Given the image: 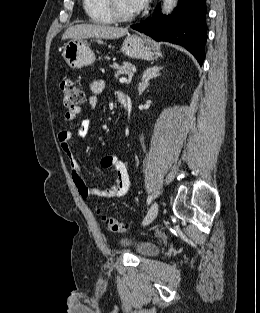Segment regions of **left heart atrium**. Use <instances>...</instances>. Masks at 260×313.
<instances>
[{
	"instance_id": "39dd6f15",
	"label": "left heart atrium",
	"mask_w": 260,
	"mask_h": 313,
	"mask_svg": "<svg viewBox=\"0 0 260 313\" xmlns=\"http://www.w3.org/2000/svg\"><path fill=\"white\" fill-rule=\"evenodd\" d=\"M132 2H133L134 10L140 11L146 6L148 0H132Z\"/></svg>"
}]
</instances>
